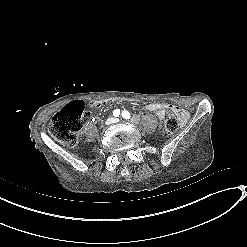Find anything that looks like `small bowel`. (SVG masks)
Returning <instances> with one entry per match:
<instances>
[{
    "label": "small bowel",
    "instance_id": "small-bowel-1",
    "mask_svg": "<svg viewBox=\"0 0 247 247\" xmlns=\"http://www.w3.org/2000/svg\"><path fill=\"white\" fill-rule=\"evenodd\" d=\"M145 110L149 112H154L159 119L160 122H162L165 118V115L169 109L173 110L177 116L180 122H184L187 119V112L179 107H169L168 105L164 103H149L144 106Z\"/></svg>",
    "mask_w": 247,
    "mask_h": 247
}]
</instances>
